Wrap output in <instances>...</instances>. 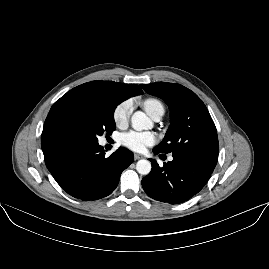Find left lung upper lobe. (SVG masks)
Masks as SVG:
<instances>
[{
	"label": "left lung upper lobe",
	"instance_id": "left-lung-upper-lobe-1",
	"mask_svg": "<svg viewBox=\"0 0 269 269\" xmlns=\"http://www.w3.org/2000/svg\"><path fill=\"white\" fill-rule=\"evenodd\" d=\"M140 86L164 100L170 110L169 129L156 148L197 163L216 166L219 151L217 131L203 101L180 84L157 82Z\"/></svg>",
	"mask_w": 269,
	"mask_h": 269
}]
</instances>
